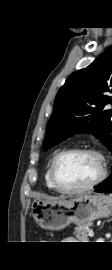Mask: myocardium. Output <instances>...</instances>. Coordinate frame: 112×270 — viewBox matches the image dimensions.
Instances as JSON below:
<instances>
[{
	"mask_svg": "<svg viewBox=\"0 0 112 270\" xmlns=\"http://www.w3.org/2000/svg\"><path fill=\"white\" fill-rule=\"evenodd\" d=\"M75 153H82V154H90L96 156L100 161V173L98 177L93 180L91 183L76 188H68L63 186L57 177V166L59 161L66 155L75 154ZM107 177V163L106 159L101 152L97 149L91 147H73L68 148L65 150L60 151L57 153L54 158L52 159L51 166H50V180L56 191L63 193V194H78L83 193L100 185Z\"/></svg>",
	"mask_w": 112,
	"mask_h": 270,
	"instance_id": "myocardium-1",
	"label": "myocardium"
}]
</instances>
